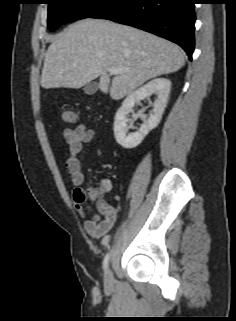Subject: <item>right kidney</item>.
Wrapping results in <instances>:
<instances>
[{
  "instance_id": "1",
  "label": "right kidney",
  "mask_w": 236,
  "mask_h": 321,
  "mask_svg": "<svg viewBox=\"0 0 236 321\" xmlns=\"http://www.w3.org/2000/svg\"><path fill=\"white\" fill-rule=\"evenodd\" d=\"M170 89V80L157 78L149 81L126 97L116 112L113 125L114 136L119 145L127 149L135 148L152 129L157 127L167 105ZM154 93L157 95V99L153 104L152 112L149 116L143 113L133 115L134 118H141L143 124H141L137 131L128 133L131 125L128 126L127 115L133 111V107L136 104H139L141 100H144Z\"/></svg>"
}]
</instances>
